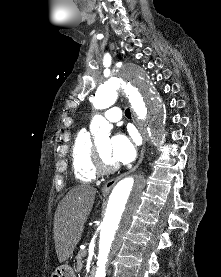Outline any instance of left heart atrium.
Segmentation results:
<instances>
[{
	"mask_svg": "<svg viewBox=\"0 0 221 277\" xmlns=\"http://www.w3.org/2000/svg\"><path fill=\"white\" fill-rule=\"evenodd\" d=\"M138 145L139 141L134 133H119L111 139L109 153L115 162L130 163L137 156Z\"/></svg>",
	"mask_w": 221,
	"mask_h": 277,
	"instance_id": "obj_1",
	"label": "left heart atrium"
}]
</instances>
